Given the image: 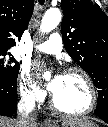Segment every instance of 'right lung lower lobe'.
Segmentation results:
<instances>
[{"label": "right lung lower lobe", "instance_id": "right-lung-lower-lobe-1", "mask_svg": "<svg viewBox=\"0 0 108 127\" xmlns=\"http://www.w3.org/2000/svg\"><path fill=\"white\" fill-rule=\"evenodd\" d=\"M17 99V81L0 78V115H12L16 109Z\"/></svg>", "mask_w": 108, "mask_h": 127}]
</instances>
